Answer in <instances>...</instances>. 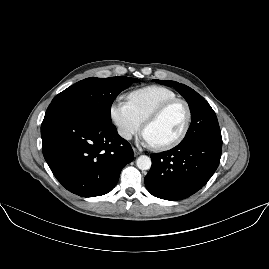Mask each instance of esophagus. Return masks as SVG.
Wrapping results in <instances>:
<instances>
[{
    "label": "esophagus",
    "mask_w": 269,
    "mask_h": 269,
    "mask_svg": "<svg viewBox=\"0 0 269 269\" xmlns=\"http://www.w3.org/2000/svg\"><path fill=\"white\" fill-rule=\"evenodd\" d=\"M139 154H141V152L134 148V156H137Z\"/></svg>",
    "instance_id": "34e87169"
}]
</instances>
